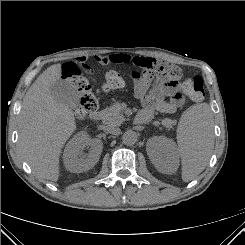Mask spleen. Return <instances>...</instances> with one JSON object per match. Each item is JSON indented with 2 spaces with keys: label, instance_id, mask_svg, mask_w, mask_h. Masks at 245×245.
<instances>
[{
  "label": "spleen",
  "instance_id": "spleen-1",
  "mask_svg": "<svg viewBox=\"0 0 245 245\" xmlns=\"http://www.w3.org/2000/svg\"><path fill=\"white\" fill-rule=\"evenodd\" d=\"M177 143L182 179L188 182L205 169L213 148L212 112L207 103L184 111L178 124Z\"/></svg>",
  "mask_w": 245,
  "mask_h": 245
}]
</instances>
